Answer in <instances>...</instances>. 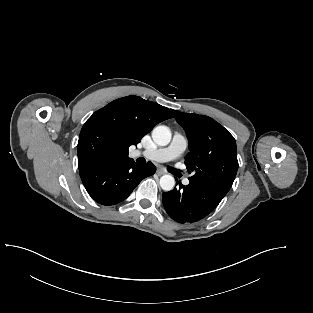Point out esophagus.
Here are the masks:
<instances>
[{
  "instance_id": "1",
  "label": "esophagus",
  "mask_w": 313,
  "mask_h": 313,
  "mask_svg": "<svg viewBox=\"0 0 313 313\" xmlns=\"http://www.w3.org/2000/svg\"><path fill=\"white\" fill-rule=\"evenodd\" d=\"M156 173H157L159 176H161V175L166 174V171L163 170V169H161V168H158L157 171H156Z\"/></svg>"
}]
</instances>
